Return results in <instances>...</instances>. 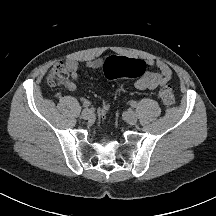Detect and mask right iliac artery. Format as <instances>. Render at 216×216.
I'll list each match as a JSON object with an SVG mask.
<instances>
[{
    "label": "right iliac artery",
    "mask_w": 216,
    "mask_h": 216,
    "mask_svg": "<svg viewBox=\"0 0 216 216\" xmlns=\"http://www.w3.org/2000/svg\"><path fill=\"white\" fill-rule=\"evenodd\" d=\"M91 105V102L90 101H88V100H86V101H84L83 102V107H89Z\"/></svg>",
    "instance_id": "obj_1"
}]
</instances>
